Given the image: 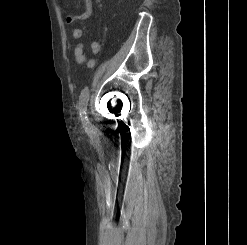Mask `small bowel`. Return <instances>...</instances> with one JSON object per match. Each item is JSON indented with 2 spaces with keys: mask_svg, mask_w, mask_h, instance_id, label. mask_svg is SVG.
I'll use <instances>...</instances> for the list:
<instances>
[{
  "mask_svg": "<svg viewBox=\"0 0 247 245\" xmlns=\"http://www.w3.org/2000/svg\"><path fill=\"white\" fill-rule=\"evenodd\" d=\"M61 3L64 5L65 0H60ZM85 1V10L83 13L79 15H72L70 13L66 14V21L67 23H73L76 21H81L89 18L92 15V2L91 0H84ZM82 30L78 27L72 28V36L74 39H80L82 37ZM91 49L94 53H98L101 49L100 41H94L91 44ZM75 59L78 63L84 64L88 68H93L95 65V61L93 58L86 57L84 54V45L83 43H79L75 50H74Z\"/></svg>",
  "mask_w": 247,
  "mask_h": 245,
  "instance_id": "c3829d8e",
  "label": "small bowel"
}]
</instances>
